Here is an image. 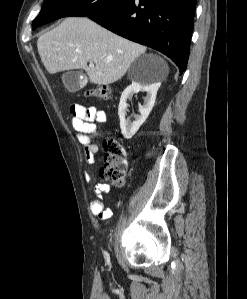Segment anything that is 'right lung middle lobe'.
<instances>
[{
	"label": "right lung middle lobe",
	"mask_w": 247,
	"mask_h": 299,
	"mask_svg": "<svg viewBox=\"0 0 247 299\" xmlns=\"http://www.w3.org/2000/svg\"><path fill=\"white\" fill-rule=\"evenodd\" d=\"M125 0H45L32 28L68 16H88L117 6Z\"/></svg>",
	"instance_id": "1"
}]
</instances>
